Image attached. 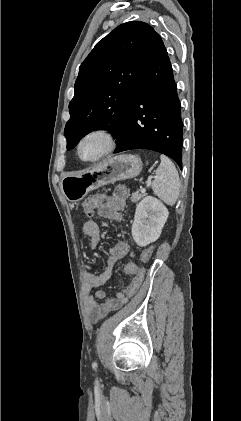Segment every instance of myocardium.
<instances>
[{"label":"myocardium","instance_id":"1","mask_svg":"<svg viewBox=\"0 0 241 421\" xmlns=\"http://www.w3.org/2000/svg\"><path fill=\"white\" fill-rule=\"evenodd\" d=\"M93 136H98L103 139L104 141L103 149L94 157H90V158L84 157L81 154L82 144L84 143L85 140ZM116 142H117L116 135L112 129L108 127H102V126L94 127L86 131L80 137L79 141L77 142L76 152H77L78 157L82 161L93 163V162L99 161L100 159L105 157L107 154L112 152L114 148L116 147Z\"/></svg>","mask_w":241,"mask_h":421}]
</instances>
